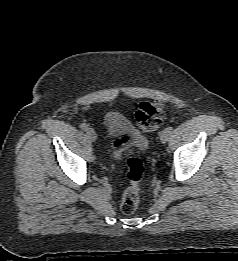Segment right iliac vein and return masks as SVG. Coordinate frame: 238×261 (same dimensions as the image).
I'll return each instance as SVG.
<instances>
[{
    "mask_svg": "<svg viewBox=\"0 0 238 261\" xmlns=\"http://www.w3.org/2000/svg\"><path fill=\"white\" fill-rule=\"evenodd\" d=\"M86 134L92 142H95L97 140L96 132L92 128H88L86 130Z\"/></svg>",
    "mask_w": 238,
    "mask_h": 261,
    "instance_id": "right-iliac-vein-1",
    "label": "right iliac vein"
}]
</instances>
